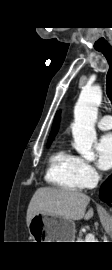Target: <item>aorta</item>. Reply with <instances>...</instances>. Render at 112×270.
<instances>
[{"label": "aorta", "mask_w": 112, "mask_h": 270, "mask_svg": "<svg viewBox=\"0 0 112 270\" xmlns=\"http://www.w3.org/2000/svg\"><path fill=\"white\" fill-rule=\"evenodd\" d=\"M102 99V90L98 85L82 90L74 108V123L72 134L73 147L85 159L94 160L92 145L96 140L95 122L98 115V105Z\"/></svg>", "instance_id": "obj_1"}]
</instances>
